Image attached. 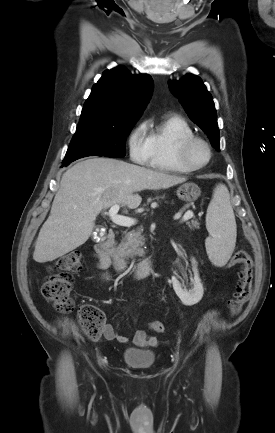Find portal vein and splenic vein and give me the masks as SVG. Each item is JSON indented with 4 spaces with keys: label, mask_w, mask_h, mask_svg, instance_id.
I'll return each mask as SVG.
<instances>
[{
    "label": "portal vein and splenic vein",
    "mask_w": 275,
    "mask_h": 433,
    "mask_svg": "<svg viewBox=\"0 0 275 433\" xmlns=\"http://www.w3.org/2000/svg\"><path fill=\"white\" fill-rule=\"evenodd\" d=\"M119 209H120L119 204H115L109 209L108 216L110 217L111 221L114 224L119 226H125V227H130L136 224V220L134 218L119 215L118 214ZM192 217H193V212L188 211L183 215L182 222H186Z\"/></svg>",
    "instance_id": "18ae733b"
}]
</instances>
